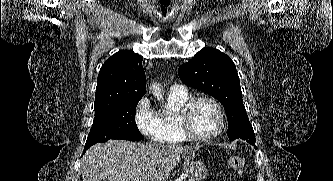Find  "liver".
I'll list each match as a JSON object with an SVG mask.
<instances>
[{"instance_id":"liver-1","label":"liver","mask_w":333,"mask_h":181,"mask_svg":"<svg viewBox=\"0 0 333 181\" xmlns=\"http://www.w3.org/2000/svg\"><path fill=\"white\" fill-rule=\"evenodd\" d=\"M200 146H172L109 140L91 146L81 160L83 181H167L185 152ZM184 158V157H183Z\"/></svg>"}]
</instances>
